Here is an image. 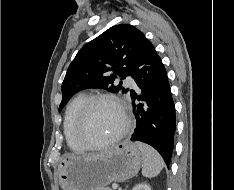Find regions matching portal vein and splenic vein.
Wrapping results in <instances>:
<instances>
[{"mask_svg": "<svg viewBox=\"0 0 234 190\" xmlns=\"http://www.w3.org/2000/svg\"><path fill=\"white\" fill-rule=\"evenodd\" d=\"M112 188H113V189H117V188H118V185H117V184H113V185H112Z\"/></svg>", "mask_w": 234, "mask_h": 190, "instance_id": "1", "label": "portal vein and splenic vein"}]
</instances>
